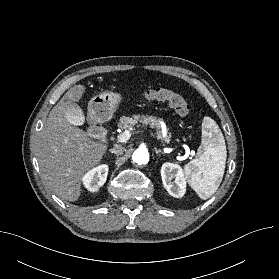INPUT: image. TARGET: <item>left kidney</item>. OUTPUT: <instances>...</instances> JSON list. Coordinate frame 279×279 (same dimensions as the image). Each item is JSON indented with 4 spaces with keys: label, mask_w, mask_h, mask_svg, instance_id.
Listing matches in <instances>:
<instances>
[{
    "label": "left kidney",
    "mask_w": 279,
    "mask_h": 279,
    "mask_svg": "<svg viewBox=\"0 0 279 279\" xmlns=\"http://www.w3.org/2000/svg\"><path fill=\"white\" fill-rule=\"evenodd\" d=\"M162 183L167 192L175 197L181 198L186 192V176L183 169L174 163H164L161 167Z\"/></svg>",
    "instance_id": "1"
}]
</instances>
